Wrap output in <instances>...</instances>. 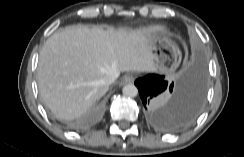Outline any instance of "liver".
Masks as SVG:
<instances>
[{
    "label": "liver",
    "instance_id": "1",
    "mask_svg": "<svg viewBox=\"0 0 244 157\" xmlns=\"http://www.w3.org/2000/svg\"><path fill=\"white\" fill-rule=\"evenodd\" d=\"M153 70L143 31L72 25L45 42L37 80L46 106L57 118L71 120L106 94L109 86L103 79L108 73Z\"/></svg>",
    "mask_w": 244,
    "mask_h": 157
}]
</instances>
